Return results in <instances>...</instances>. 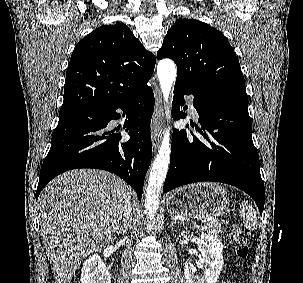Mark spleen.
I'll list each match as a JSON object with an SVG mask.
<instances>
[{
	"label": "spleen",
	"mask_w": 303,
	"mask_h": 283,
	"mask_svg": "<svg viewBox=\"0 0 303 283\" xmlns=\"http://www.w3.org/2000/svg\"><path fill=\"white\" fill-rule=\"evenodd\" d=\"M239 215L243 221L244 227L248 230H254L257 227V214L252 205L247 201L242 202L239 209Z\"/></svg>",
	"instance_id": "3e777b00"
}]
</instances>
